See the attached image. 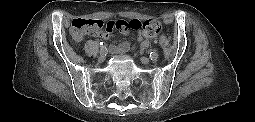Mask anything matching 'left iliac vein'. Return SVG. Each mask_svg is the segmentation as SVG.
Masks as SVG:
<instances>
[{
	"instance_id": "obj_1",
	"label": "left iliac vein",
	"mask_w": 255,
	"mask_h": 122,
	"mask_svg": "<svg viewBox=\"0 0 255 122\" xmlns=\"http://www.w3.org/2000/svg\"><path fill=\"white\" fill-rule=\"evenodd\" d=\"M140 59H141V62L146 64V65L150 63V60L146 57H141Z\"/></svg>"
}]
</instances>
